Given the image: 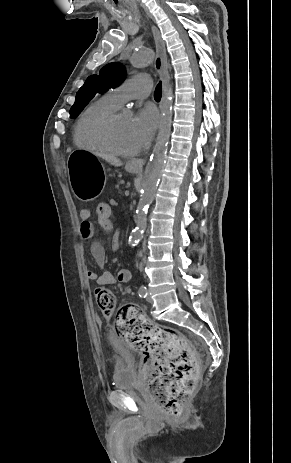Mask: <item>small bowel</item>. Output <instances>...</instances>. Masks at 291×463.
I'll return each instance as SVG.
<instances>
[{
	"mask_svg": "<svg viewBox=\"0 0 291 463\" xmlns=\"http://www.w3.org/2000/svg\"><path fill=\"white\" fill-rule=\"evenodd\" d=\"M79 217L81 220L79 226L80 238L83 241H90L91 256L93 257L97 266L101 269L100 273H97L93 270H88L86 272L87 280L94 282L98 285H113L117 281L120 283H128L131 280V272L129 270H120L117 274V277H115L112 272L104 268L106 262V251L99 241L93 240L94 227L90 220V209L82 208L79 212ZM101 227L106 231H111L113 229V223L111 226ZM120 238L121 233L119 231H114L112 233L111 248L113 250H118L120 248Z\"/></svg>",
	"mask_w": 291,
	"mask_h": 463,
	"instance_id": "c3829d8e",
	"label": "small bowel"
}]
</instances>
